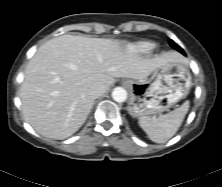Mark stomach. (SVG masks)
Masks as SVG:
<instances>
[{
    "instance_id": "obj_1",
    "label": "stomach",
    "mask_w": 222,
    "mask_h": 187,
    "mask_svg": "<svg viewBox=\"0 0 222 187\" xmlns=\"http://www.w3.org/2000/svg\"><path fill=\"white\" fill-rule=\"evenodd\" d=\"M191 80L186 64L174 61L157 68L149 79L127 81L131 92L129 114L140 119L167 111L188 95Z\"/></svg>"
}]
</instances>
